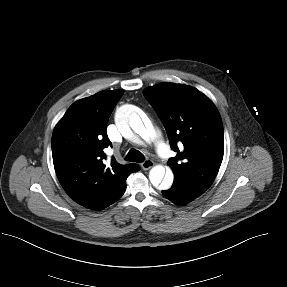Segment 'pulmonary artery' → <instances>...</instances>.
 Instances as JSON below:
<instances>
[{
  "label": "pulmonary artery",
  "mask_w": 287,
  "mask_h": 287,
  "mask_svg": "<svg viewBox=\"0 0 287 287\" xmlns=\"http://www.w3.org/2000/svg\"><path fill=\"white\" fill-rule=\"evenodd\" d=\"M158 153L162 156V157H166L169 154V150L167 149V147L165 145H159L158 147Z\"/></svg>",
  "instance_id": "pulmonary-artery-1"
}]
</instances>
